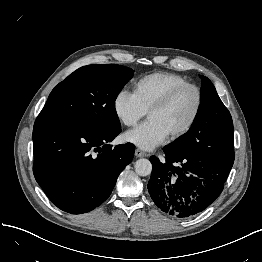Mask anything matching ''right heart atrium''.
I'll return each mask as SVG.
<instances>
[{"mask_svg":"<svg viewBox=\"0 0 262 262\" xmlns=\"http://www.w3.org/2000/svg\"><path fill=\"white\" fill-rule=\"evenodd\" d=\"M113 108L117 118L127 127L135 126L146 114L134 93L125 89L116 94Z\"/></svg>","mask_w":262,"mask_h":262,"instance_id":"1","label":"right heart atrium"}]
</instances>
